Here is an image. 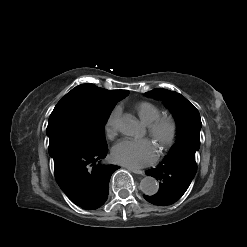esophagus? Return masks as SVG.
Listing matches in <instances>:
<instances>
[{
  "label": "esophagus",
  "instance_id": "1",
  "mask_svg": "<svg viewBox=\"0 0 247 247\" xmlns=\"http://www.w3.org/2000/svg\"><path fill=\"white\" fill-rule=\"evenodd\" d=\"M129 171L135 173V174H141L144 175V171L139 170V169H134V168H128Z\"/></svg>",
  "mask_w": 247,
  "mask_h": 247
}]
</instances>
